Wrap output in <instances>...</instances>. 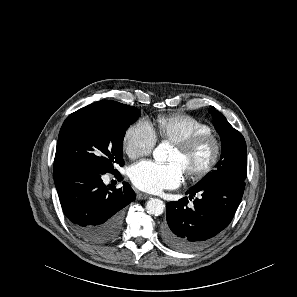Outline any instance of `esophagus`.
Listing matches in <instances>:
<instances>
[{"mask_svg": "<svg viewBox=\"0 0 297 297\" xmlns=\"http://www.w3.org/2000/svg\"><path fill=\"white\" fill-rule=\"evenodd\" d=\"M136 198L138 200H146V199L151 198V195L146 194V193H142V192H138L137 195H136Z\"/></svg>", "mask_w": 297, "mask_h": 297, "instance_id": "1", "label": "esophagus"}]
</instances>
